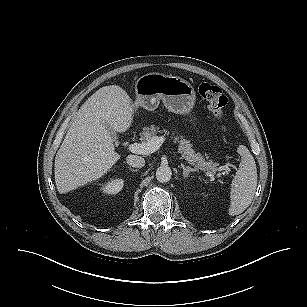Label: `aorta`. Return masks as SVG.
Here are the masks:
<instances>
[{
	"instance_id": "obj_1",
	"label": "aorta",
	"mask_w": 307,
	"mask_h": 307,
	"mask_svg": "<svg viewBox=\"0 0 307 307\" xmlns=\"http://www.w3.org/2000/svg\"><path fill=\"white\" fill-rule=\"evenodd\" d=\"M172 171L169 166L162 165L156 170V178L160 183H166L171 179Z\"/></svg>"
}]
</instances>
